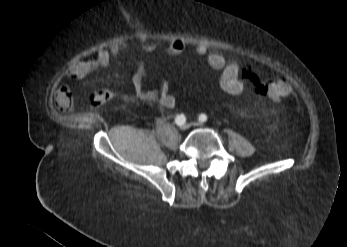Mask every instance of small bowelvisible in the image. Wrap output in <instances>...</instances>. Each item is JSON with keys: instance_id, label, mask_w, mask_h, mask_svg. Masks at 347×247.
Returning a JSON list of instances; mask_svg holds the SVG:
<instances>
[{"instance_id": "small-bowel-1", "label": "small bowel", "mask_w": 347, "mask_h": 247, "mask_svg": "<svg viewBox=\"0 0 347 247\" xmlns=\"http://www.w3.org/2000/svg\"><path fill=\"white\" fill-rule=\"evenodd\" d=\"M127 45L118 43L111 47H101L96 51L93 59L79 60L69 68V75L81 80L89 74L109 65L111 59L118 56ZM187 44L181 39H174L168 42L166 51L171 55L182 53ZM159 49L156 43H143L139 50L143 53H153ZM195 52L200 56H205L211 69L219 74V85L223 92L238 96L245 92L251 74L235 60H227L218 50L211 49L208 45L199 44L195 46ZM146 66L143 60H136L135 71L132 83L137 98L147 103H157L165 109H172L176 106L177 100L170 92V83L163 81L158 89H145ZM260 91V87L258 88ZM55 105L61 112H71L74 108L73 95L69 88H61L55 96Z\"/></svg>"}]
</instances>
